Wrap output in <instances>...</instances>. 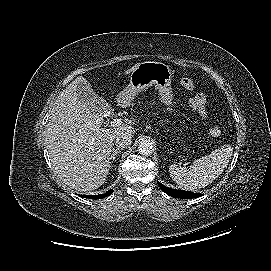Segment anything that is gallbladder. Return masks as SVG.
<instances>
[{
	"mask_svg": "<svg viewBox=\"0 0 271 271\" xmlns=\"http://www.w3.org/2000/svg\"><path fill=\"white\" fill-rule=\"evenodd\" d=\"M77 97L78 100L86 105L89 109L94 110L101 115L107 116L112 112V107L108 102L98 94L86 89L84 83L77 85Z\"/></svg>",
	"mask_w": 271,
	"mask_h": 271,
	"instance_id": "obj_1",
	"label": "gallbladder"
}]
</instances>
